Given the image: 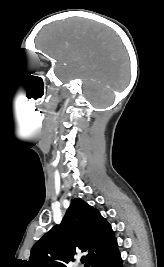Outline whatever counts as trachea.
<instances>
[{"label": "trachea", "instance_id": "obj_1", "mask_svg": "<svg viewBox=\"0 0 164 267\" xmlns=\"http://www.w3.org/2000/svg\"><path fill=\"white\" fill-rule=\"evenodd\" d=\"M85 261H86L85 258H82V259H81V262H82V263H85Z\"/></svg>", "mask_w": 164, "mask_h": 267}]
</instances>
